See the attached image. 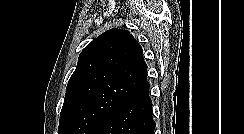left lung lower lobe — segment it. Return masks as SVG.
I'll return each instance as SVG.
<instances>
[{
    "label": "left lung lower lobe",
    "mask_w": 244,
    "mask_h": 134,
    "mask_svg": "<svg viewBox=\"0 0 244 134\" xmlns=\"http://www.w3.org/2000/svg\"><path fill=\"white\" fill-rule=\"evenodd\" d=\"M152 102L149 92L119 106L96 134H154Z\"/></svg>",
    "instance_id": "0a47b994"
}]
</instances>
